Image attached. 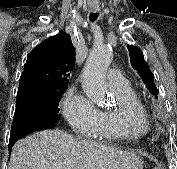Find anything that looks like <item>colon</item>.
<instances>
[{"label": "colon", "instance_id": "1", "mask_svg": "<svg viewBox=\"0 0 177 169\" xmlns=\"http://www.w3.org/2000/svg\"><path fill=\"white\" fill-rule=\"evenodd\" d=\"M151 169H160V168H158V167H154V168H151Z\"/></svg>", "mask_w": 177, "mask_h": 169}]
</instances>
